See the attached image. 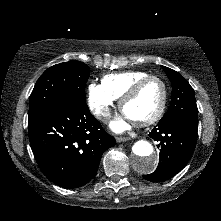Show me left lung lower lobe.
I'll list each match as a JSON object with an SVG mask.
<instances>
[{"instance_id":"left-lung-lower-lobe-1","label":"left lung lower lobe","mask_w":221,"mask_h":221,"mask_svg":"<svg viewBox=\"0 0 221 221\" xmlns=\"http://www.w3.org/2000/svg\"><path fill=\"white\" fill-rule=\"evenodd\" d=\"M149 136L159 143V164L153 173L143 177L151 182H163L180 172L191 158L197 130L180 120L159 121Z\"/></svg>"}]
</instances>
